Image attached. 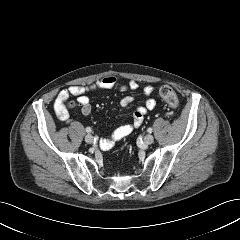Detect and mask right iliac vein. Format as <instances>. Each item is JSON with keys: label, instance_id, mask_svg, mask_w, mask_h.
Listing matches in <instances>:
<instances>
[{"label": "right iliac vein", "instance_id": "obj_1", "mask_svg": "<svg viewBox=\"0 0 240 240\" xmlns=\"http://www.w3.org/2000/svg\"><path fill=\"white\" fill-rule=\"evenodd\" d=\"M94 139H93V136L91 134H87L85 136V142L88 143V144H91L93 143Z\"/></svg>", "mask_w": 240, "mask_h": 240}]
</instances>
